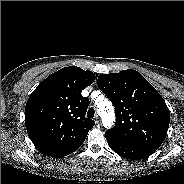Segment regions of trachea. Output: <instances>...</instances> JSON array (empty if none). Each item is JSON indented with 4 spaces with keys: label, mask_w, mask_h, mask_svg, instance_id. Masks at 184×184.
Returning <instances> with one entry per match:
<instances>
[{
    "label": "trachea",
    "mask_w": 184,
    "mask_h": 184,
    "mask_svg": "<svg viewBox=\"0 0 184 184\" xmlns=\"http://www.w3.org/2000/svg\"><path fill=\"white\" fill-rule=\"evenodd\" d=\"M94 115H95V110H94V108H90V109L88 110L87 117H88V118H93Z\"/></svg>",
    "instance_id": "3493384b"
}]
</instances>
